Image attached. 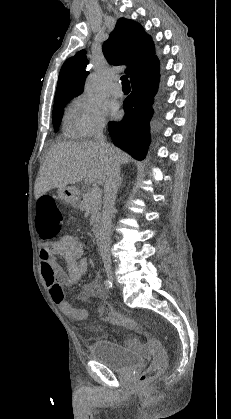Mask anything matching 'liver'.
Listing matches in <instances>:
<instances>
[{
  "instance_id": "6515ba94",
  "label": "liver",
  "mask_w": 231,
  "mask_h": 419,
  "mask_svg": "<svg viewBox=\"0 0 231 419\" xmlns=\"http://www.w3.org/2000/svg\"><path fill=\"white\" fill-rule=\"evenodd\" d=\"M114 159L120 164L132 158L121 149L107 144ZM109 166V156L93 141L61 142L48 152L34 186L38 199L53 188L82 182L103 185Z\"/></svg>"
}]
</instances>
